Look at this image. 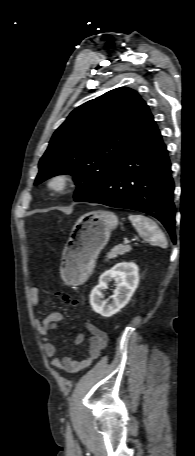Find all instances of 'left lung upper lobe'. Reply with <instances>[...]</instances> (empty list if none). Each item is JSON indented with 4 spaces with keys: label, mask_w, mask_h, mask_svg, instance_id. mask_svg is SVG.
Wrapping results in <instances>:
<instances>
[{
    "label": "left lung upper lobe",
    "mask_w": 195,
    "mask_h": 456,
    "mask_svg": "<svg viewBox=\"0 0 195 456\" xmlns=\"http://www.w3.org/2000/svg\"><path fill=\"white\" fill-rule=\"evenodd\" d=\"M150 113L139 94L113 89L76 108L53 134L39 162L35 185L71 174L82 202L104 184L139 125Z\"/></svg>",
    "instance_id": "left-lung-upper-lobe-1"
}]
</instances>
